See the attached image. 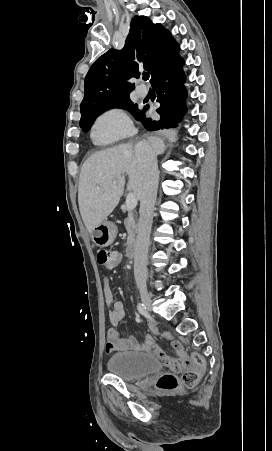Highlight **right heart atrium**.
Instances as JSON below:
<instances>
[{"mask_svg": "<svg viewBox=\"0 0 272 451\" xmlns=\"http://www.w3.org/2000/svg\"><path fill=\"white\" fill-rule=\"evenodd\" d=\"M131 122L121 110H110L102 114L95 122L92 137L95 141H105L121 138L127 135Z\"/></svg>", "mask_w": 272, "mask_h": 451, "instance_id": "d8ad5b80", "label": "right heart atrium"}]
</instances>
